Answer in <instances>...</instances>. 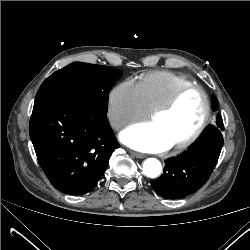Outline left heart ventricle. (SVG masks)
I'll use <instances>...</instances> for the list:
<instances>
[{"mask_svg":"<svg viewBox=\"0 0 250 250\" xmlns=\"http://www.w3.org/2000/svg\"><path fill=\"white\" fill-rule=\"evenodd\" d=\"M204 114V101L197 91L183 95L168 113L152 119L167 139L175 144L191 135L200 124Z\"/></svg>","mask_w":250,"mask_h":250,"instance_id":"obj_1","label":"left heart ventricle"}]
</instances>
